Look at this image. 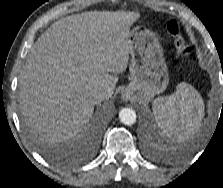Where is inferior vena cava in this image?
I'll return each mask as SVG.
<instances>
[{
  "label": "inferior vena cava",
  "instance_id": "602c4592",
  "mask_svg": "<svg viewBox=\"0 0 223 188\" xmlns=\"http://www.w3.org/2000/svg\"><path fill=\"white\" fill-rule=\"evenodd\" d=\"M108 96H109V93L106 90H102V89H100V90H94L91 93L92 101L95 104L101 103L102 101H104L105 99H107Z\"/></svg>",
  "mask_w": 223,
  "mask_h": 188
}]
</instances>
